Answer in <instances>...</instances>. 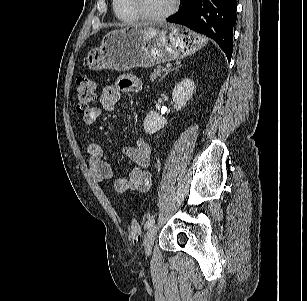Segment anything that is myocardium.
Here are the masks:
<instances>
[{"label":"myocardium","mask_w":307,"mask_h":301,"mask_svg":"<svg viewBox=\"0 0 307 301\" xmlns=\"http://www.w3.org/2000/svg\"><path fill=\"white\" fill-rule=\"evenodd\" d=\"M129 5L132 9V11L135 13V15L142 20L147 21H159L164 20L172 16L179 8L180 0H173L171 3V6L166 11L159 13V14H149L142 10V8L139 5L138 0H128Z\"/></svg>","instance_id":"obj_1"}]
</instances>
